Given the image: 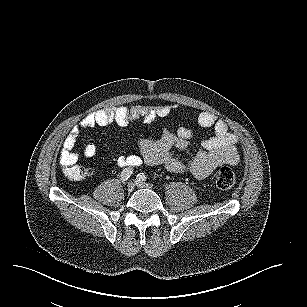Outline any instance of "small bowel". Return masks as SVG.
I'll return each instance as SVG.
<instances>
[{"instance_id": "obj_1", "label": "small bowel", "mask_w": 307, "mask_h": 307, "mask_svg": "<svg viewBox=\"0 0 307 307\" xmlns=\"http://www.w3.org/2000/svg\"><path fill=\"white\" fill-rule=\"evenodd\" d=\"M177 105L117 107L100 109L85 116L65 137L60 152V163L64 166L73 164L78 160L75 152L77 137L82 130L112 124L126 126L136 120L151 123L159 118L170 115ZM201 127L213 128V134L202 140L200 149L189 160L185 161L172 153L176 148L181 152H187L191 146L192 131L186 127H180L176 131L161 128L157 139H144L139 143V154L120 155L117 165L122 168H135L143 163L149 165H162L173 172H187L198 179L208 177L217 167L228 164L237 165L240 156L237 151V136L231 132L225 121L218 119L210 112H202L197 117ZM97 149L94 144H87L84 155L93 159Z\"/></svg>"}]
</instances>
